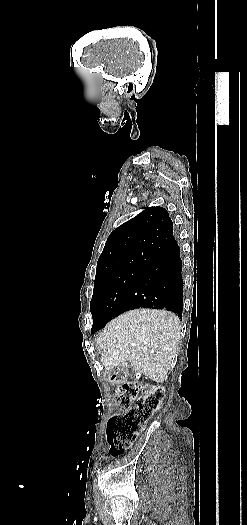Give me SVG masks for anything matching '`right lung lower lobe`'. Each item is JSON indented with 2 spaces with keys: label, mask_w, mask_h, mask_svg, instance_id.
<instances>
[{
  "label": "right lung lower lobe",
  "mask_w": 247,
  "mask_h": 525,
  "mask_svg": "<svg viewBox=\"0 0 247 525\" xmlns=\"http://www.w3.org/2000/svg\"><path fill=\"white\" fill-rule=\"evenodd\" d=\"M181 271L180 248L174 238L151 256L150 263L117 308V315L136 308H152L169 310L182 318ZM102 327H92V333Z\"/></svg>",
  "instance_id": "right-lung-lower-lobe-1"
}]
</instances>
